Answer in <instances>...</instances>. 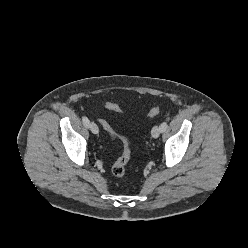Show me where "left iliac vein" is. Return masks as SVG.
<instances>
[{
  "instance_id": "obj_1",
  "label": "left iliac vein",
  "mask_w": 248,
  "mask_h": 248,
  "mask_svg": "<svg viewBox=\"0 0 248 248\" xmlns=\"http://www.w3.org/2000/svg\"><path fill=\"white\" fill-rule=\"evenodd\" d=\"M161 133V129L159 126H154L151 130V135L153 138H158Z\"/></svg>"
}]
</instances>
